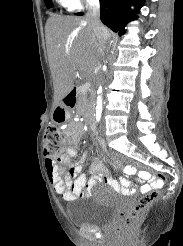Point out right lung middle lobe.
<instances>
[{
    "label": "right lung middle lobe",
    "mask_w": 183,
    "mask_h": 246,
    "mask_svg": "<svg viewBox=\"0 0 183 246\" xmlns=\"http://www.w3.org/2000/svg\"><path fill=\"white\" fill-rule=\"evenodd\" d=\"M44 2H45L46 6H47L48 8H52V7H53V3H52L51 0H44Z\"/></svg>",
    "instance_id": "right-lung-middle-lobe-1"
}]
</instances>
